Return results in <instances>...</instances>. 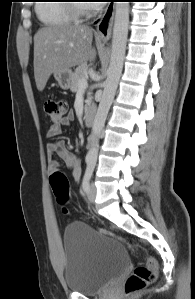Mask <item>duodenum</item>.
I'll list each match as a JSON object with an SVG mask.
<instances>
[{
	"label": "duodenum",
	"instance_id": "410a0bca",
	"mask_svg": "<svg viewBox=\"0 0 195 299\" xmlns=\"http://www.w3.org/2000/svg\"><path fill=\"white\" fill-rule=\"evenodd\" d=\"M95 116L96 107L93 104L88 105L83 109V120L87 126L93 125Z\"/></svg>",
	"mask_w": 195,
	"mask_h": 299
}]
</instances>
